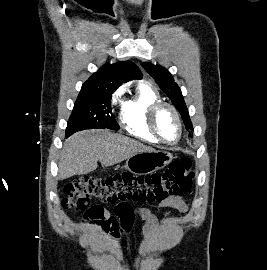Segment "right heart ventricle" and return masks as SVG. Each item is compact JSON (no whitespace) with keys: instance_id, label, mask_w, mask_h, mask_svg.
<instances>
[{"instance_id":"obj_1","label":"right heart ventricle","mask_w":267,"mask_h":270,"mask_svg":"<svg viewBox=\"0 0 267 270\" xmlns=\"http://www.w3.org/2000/svg\"><path fill=\"white\" fill-rule=\"evenodd\" d=\"M159 101H162L161 96L150 83H140L135 94L124 103L122 108L120 122L125 131L144 142L158 144L159 141L148 127L147 117L149 108Z\"/></svg>"}]
</instances>
